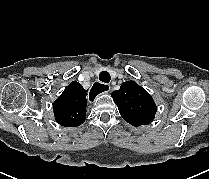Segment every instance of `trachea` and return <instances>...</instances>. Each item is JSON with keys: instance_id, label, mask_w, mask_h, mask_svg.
<instances>
[{"instance_id": "trachea-1", "label": "trachea", "mask_w": 209, "mask_h": 179, "mask_svg": "<svg viewBox=\"0 0 209 179\" xmlns=\"http://www.w3.org/2000/svg\"><path fill=\"white\" fill-rule=\"evenodd\" d=\"M110 79H111V76L107 71H102L99 74V80L104 82V83H109Z\"/></svg>"}]
</instances>
